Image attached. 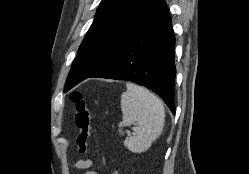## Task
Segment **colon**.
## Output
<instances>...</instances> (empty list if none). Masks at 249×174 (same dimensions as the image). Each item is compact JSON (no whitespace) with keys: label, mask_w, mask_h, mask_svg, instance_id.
Returning <instances> with one entry per match:
<instances>
[{"label":"colon","mask_w":249,"mask_h":174,"mask_svg":"<svg viewBox=\"0 0 249 174\" xmlns=\"http://www.w3.org/2000/svg\"><path fill=\"white\" fill-rule=\"evenodd\" d=\"M71 100L75 105L74 123L77 129L75 145L79 153L84 155L89 151L88 142L91 135V115L81 93H72Z\"/></svg>","instance_id":"obj_1"}]
</instances>
